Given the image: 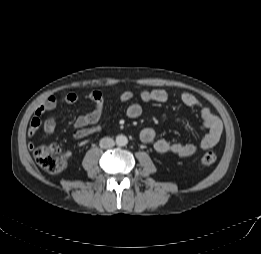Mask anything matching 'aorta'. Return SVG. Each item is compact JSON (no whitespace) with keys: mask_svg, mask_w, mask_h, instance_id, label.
I'll return each mask as SVG.
<instances>
[{"mask_svg":"<svg viewBox=\"0 0 261 254\" xmlns=\"http://www.w3.org/2000/svg\"><path fill=\"white\" fill-rule=\"evenodd\" d=\"M128 143V139L125 135H118L116 137V144L118 146H125Z\"/></svg>","mask_w":261,"mask_h":254,"instance_id":"aorta-1","label":"aorta"}]
</instances>
